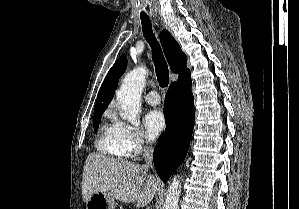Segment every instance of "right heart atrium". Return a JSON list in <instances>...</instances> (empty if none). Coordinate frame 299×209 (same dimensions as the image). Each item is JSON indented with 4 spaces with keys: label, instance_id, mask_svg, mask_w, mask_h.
<instances>
[{
    "label": "right heart atrium",
    "instance_id": "right-heart-atrium-1",
    "mask_svg": "<svg viewBox=\"0 0 299 209\" xmlns=\"http://www.w3.org/2000/svg\"><path fill=\"white\" fill-rule=\"evenodd\" d=\"M114 124L125 156L136 157L148 148L149 144L140 130L120 120H115Z\"/></svg>",
    "mask_w": 299,
    "mask_h": 209
}]
</instances>
